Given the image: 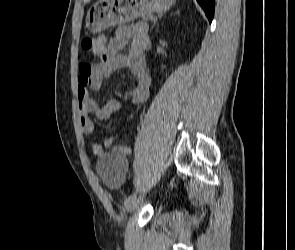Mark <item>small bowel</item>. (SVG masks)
<instances>
[{
	"instance_id": "1",
	"label": "small bowel",
	"mask_w": 295,
	"mask_h": 250,
	"mask_svg": "<svg viewBox=\"0 0 295 250\" xmlns=\"http://www.w3.org/2000/svg\"><path fill=\"white\" fill-rule=\"evenodd\" d=\"M130 41L129 53L122 54L121 50ZM149 45L150 40L144 26H122L116 30L115 35L109 41L104 39L103 47L94 52L100 57L99 62L79 64L77 96L80 123L84 134L93 132L91 114H95L101 120H107L120 109L118 100L103 101L98 96L90 94V91H97L100 88L106 75L119 69L128 70L135 79V85L131 91L132 102L141 104L147 100L151 77L146 70L144 51ZM114 142V137H108L104 141V146L111 147ZM91 149L94 155H101L103 152V147L96 143L91 145ZM114 149L121 155H128L131 152L126 146H117Z\"/></svg>"
}]
</instances>
